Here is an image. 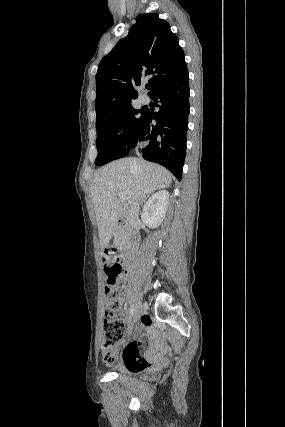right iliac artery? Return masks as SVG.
<instances>
[{
  "label": "right iliac artery",
  "instance_id": "82829eb1",
  "mask_svg": "<svg viewBox=\"0 0 285 427\" xmlns=\"http://www.w3.org/2000/svg\"><path fill=\"white\" fill-rule=\"evenodd\" d=\"M135 307L132 305L129 309V320H131L132 316L134 315Z\"/></svg>",
  "mask_w": 285,
  "mask_h": 427
}]
</instances>
